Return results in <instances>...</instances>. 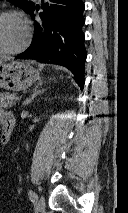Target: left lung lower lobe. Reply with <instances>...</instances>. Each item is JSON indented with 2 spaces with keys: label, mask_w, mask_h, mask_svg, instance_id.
Segmentation results:
<instances>
[{
  "label": "left lung lower lobe",
  "mask_w": 128,
  "mask_h": 213,
  "mask_svg": "<svg viewBox=\"0 0 128 213\" xmlns=\"http://www.w3.org/2000/svg\"><path fill=\"white\" fill-rule=\"evenodd\" d=\"M36 7L29 11L34 18ZM41 22L35 21L32 45L16 59L56 60L71 70L80 88L84 85L86 49L82 0H50L42 5Z\"/></svg>",
  "instance_id": "obj_1"
}]
</instances>
